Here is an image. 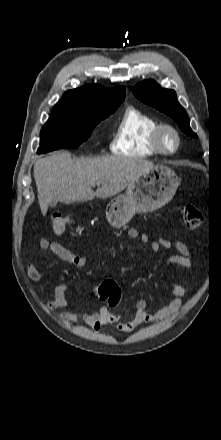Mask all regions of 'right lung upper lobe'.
<instances>
[{"label": "right lung upper lobe", "mask_w": 221, "mask_h": 440, "mask_svg": "<svg viewBox=\"0 0 221 440\" xmlns=\"http://www.w3.org/2000/svg\"><path fill=\"white\" fill-rule=\"evenodd\" d=\"M124 98V86L105 88L99 84H88L65 92L55 106L75 109L119 106Z\"/></svg>", "instance_id": "obj_1"}]
</instances>
